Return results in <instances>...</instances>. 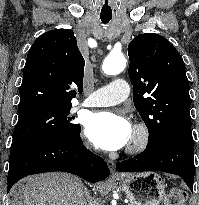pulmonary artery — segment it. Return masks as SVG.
<instances>
[{"mask_svg": "<svg viewBox=\"0 0 199 205\" xmlns=\"http://www.w3.org/2000/svg\"><path fill=\"white\" fill-rule=\"evenodd\" d=\"M130 88V84L125 79L117 78L107 86L90 94L81 105L102 107L119 104L129 96Z\"/></svg>", "mask_w": 199, "mask_h": 205, "instance_id": "pulmonary-artery-1", "label": "pulmonary artery"}]
</instances>
